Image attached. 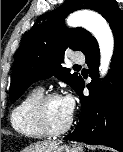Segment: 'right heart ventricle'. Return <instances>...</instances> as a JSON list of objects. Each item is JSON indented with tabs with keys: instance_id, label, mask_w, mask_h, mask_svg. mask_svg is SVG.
<instances>
[{
	"instance_id": "1",
	"label": "right heart ventricle",
	"mask_w": 123,
	"mask_h": 152,
	"mask_svg": "<svg viewBox=\"0 0 123 152\" xmlns=\"http://www.w3.org/2000/svg\"><path fill=\"white\" fill-rule=\"evenodd\" d=\"M43 95V90L35 88L26 94L13 108L10 115L12 128L20 135L39 139L46 135L38 128L34 119V107Z\"/></svg>"
}]
</instances>
